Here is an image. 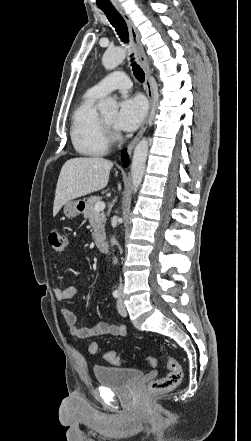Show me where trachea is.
<instances>
[{"label": "trachea", "mask_w": 251, "mask_h": 441, "mask_svg": "<svg viewBox=\"0 0 251 441\" xmlns=\"http://www.w3.org/2000/svg\"><path fill=\"white\" fill-rule=\"evenodd\" d=\"M101 10L107 16V19L109 20L110 24L115 28L121 41L124 43H128L129 41L128 28L126 22L124 21L120 13L115 8H101ZM131 62H132L131 65L135 78L141 83L144 82L145 80L144 71L138 64H136L134 58H131Z\"/></svg>", "instance_id": "trachea-1"}]
</instances>
